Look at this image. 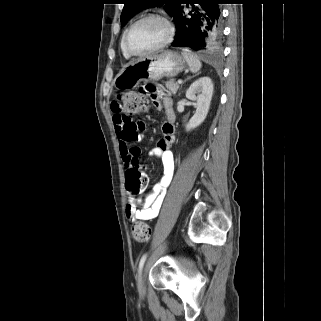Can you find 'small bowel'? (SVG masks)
Returning <instances> with one entry per match:
<instances>
[{
	"instance_id": "obj_1",
	"label": "small bowel",
	"mask_w": 321,
	"mask_h": 321,
	"mask_svg": "<svg viewBox=\"0 0 321 321\" xmlns=\"http://www.w3.org/2000/svg\"><path fill=\"white\" fill-rule=\"evenodd\" d=\"M135 91L141 94L142 98H149L150 101L154 102L156 108L163 107L166 117L161 126L162 137L151 150V155L162 161L163 174L161 179L144 198L136 199L130 196L126 206V217L128 220L149 221L158 216L165 197L166 188L173 177L174 158L170 148L175 141L176 115L172 99L162 92V87L157 86L156 82H145L143 86H136ZM111 110L113 112L112 119L119 142L120 153L128 167L133 160H139L140 149L132 145V143L138 142L143 138L146 126L142 121H134L131 117H124L118 109L117 102L111 104Z\"/></svg>"
}]
</instances>
